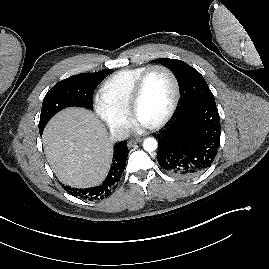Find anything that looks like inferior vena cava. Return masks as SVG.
<instances>
[{"instance_id":"inferior-vena-cava-1","label":"inferior vena cava","mask_w":269,"mask_h":269,"mask_svg":"<svg viewBox=\"0 0 269 269\" xmlns=\"http://www.w3.org/2000/svg\"><path fill=\"white\" fill-rule=\"evenodd\" d=\"M129 137V130L123 127L113 129L111 131V141L117 142L125 140Z\"/></svg>"}]
</instances>
